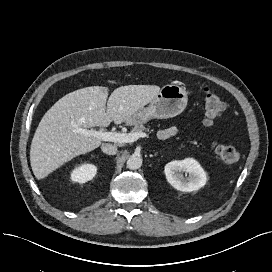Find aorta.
<instances>
[{
    "label": "aorta",
    "instance_id": "aorta-1",
    "mask_svg": "<svg viewBox=\"0 0 272 272\" xmlns=\"http://www.w3.org/2000/svg\"><path fill=\"white\" fill-rule=\"evenodd\" d=\"M142 162L141 155L133 154L127 160V167L131 170H137L142 166Z\"/></svg>",
    "mask_w": 272,
    "mask_h": 272
}]
</instances>
